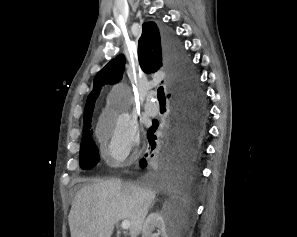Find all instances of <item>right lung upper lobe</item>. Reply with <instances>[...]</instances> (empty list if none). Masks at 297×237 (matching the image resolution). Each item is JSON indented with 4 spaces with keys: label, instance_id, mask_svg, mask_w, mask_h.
Wrapping results in <instances>:
<instances>
[{
    "label": "right lung upper lobe",
    "instance_id": "right-lung-upper-lobe-1",
    "mask_svg": "<svg viewBox=\"0 0 297 237\" xmlns=\"http://www.w3.org/2000/svg\"><path fill=\"white\" fill-rule=\"evenodd\" d=\"M138 59L144 72L154 73L160 67H164L169 71L170 81H172V73L168 68L165 56L162 30H159L153 22L143 24L142 34L138 41ZM124 63L125 57L121 54L111 60L94 78L93 90L87 98L84 110L85 127L91 124L95 100L99 96L102 86L116 83L122 78Z\"/></svg>",
    "mask_w": 297,
    "mask_h": 237
}]
</instances>
